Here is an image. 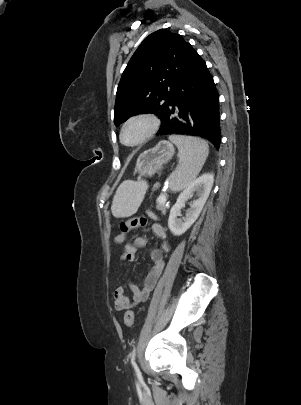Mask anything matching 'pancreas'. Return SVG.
Segmentation results:
<instances>
[{"label": "pancreas", "instance_id": "pancreas-1", "mask_svg": "<svg viewBox=\"0 0 301 405\" xmlns=\"http://www.w3.org/2000/svg\"><path fill=\"white\" fill-rule=\"evenodd\" d=\"M156 208H157L158 210H160L162 213H165V205H164V203L157 201V206H156Z\"/></svg>", "mask_w": 301, "mask_h": 405}]
</instances>
